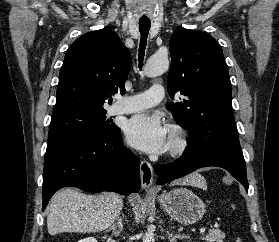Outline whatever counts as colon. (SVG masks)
Wrapping results in <instances>:
<instances>
[{"label":"colon","mask_w":279,"mask_h":242,"mask_svg":"<svg viewBox=\"0 0 279 242\" xmlns=\"http://www.w3.org/2000/svg\"><path fill=\"white\" fill-rule=\"evenodd\" d=\"M233 242H244V241L241 238H239V237H235L233 239Z\"/></svg>","instance_id":"5ec220e1"}]
</instances>
